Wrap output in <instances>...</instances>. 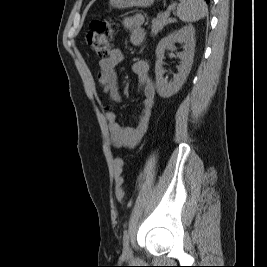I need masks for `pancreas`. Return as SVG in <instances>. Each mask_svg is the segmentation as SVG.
I'll return each instance as SVG.
<instances>
[{"label":"pancreas","instance_id":"obj_1","mask_svg":"<svg viewBox=\"0 0 267 267\" xmlns=\"http://www.w3.org/2000/svg\"><path fill=\"white\" fill-rule=\"evenodd\" d=\"M176 19L165 17L164 15L158 16L152 20L151 35H157L166 25L175 23Z\"/></svg>","mask_w":267,"mask_h":267}]
</instances>
